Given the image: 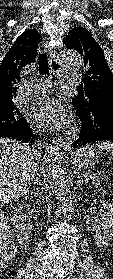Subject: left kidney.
I'll return each mask as SVG.
<instances>
[{
  "label": "left kidney",
  "instance_id": "5707ae66",
  "mask_svg": "<svg viewBox=\"0 0 113 279\" xmlns=\"http://www.w3.org/2000/svg\"><path fill=\"white\" fill-rule=\"evenodd\" d=\"M103 209L98 213L93 225L94 239L97 247H108L113 237V204L101 201Z\"/></svg>",
  "mask_w": 113,
  "mask_h": 279
}]
</instances>
